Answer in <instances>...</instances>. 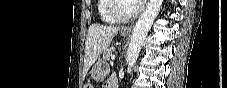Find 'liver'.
<instances>
[{
	"instance_id": "1",
	"label": "liver",
	"mask_w": 227,
	"mask_h": 88,
	"mask_svg": "<svg viewBox=\"0 0 227 88\" xmlns=\"http://www.w3.org/2000/svg\"><path fill=\"white\" fill-rule=\"evenodd\" d=\"M119 27L92 24L87 33L85 43L84 68H89L97 61L99 56L110 45Z\"/></svg>"
}]
</instances>
